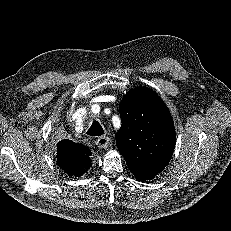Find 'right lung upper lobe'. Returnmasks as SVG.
Wrapping results in <instances>:
<instances>
[{
	"label": "right lung upper lobe",
	"mask_w": 231,
	"mask_h": 231,
	"mask_svg": "<svg viewBox=\"0 0 231 231\" xmlns=\"http://www.w3.org/2000/svg\"><path fill=\"white\" fill-rule=\"evenodd\" d=\"M90 155L88 150H77L65 145V140L57 145V164L71 176L83 175L91 167Z\"/></svg>",
	"instance_id": "1"
}]
</instances>
